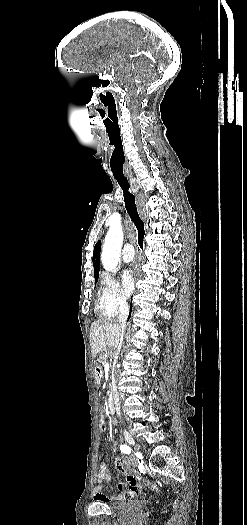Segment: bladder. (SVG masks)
<instances>
[{
    "mask_svg": "<svg viewBox=\"0 0 247 525\" xmlns=\"http://www.w3.org/2000/svg\"><path fill=\"white\" fill-rule=\"evenodd\" d=\"M113 505H114V504H112V503H109V504H108V506H110V507H112Z\"/></svg>",
    "mask_w": 247,
    "mask_h": 525,
    "instance_id": "1",
    "label": "bladder"
}]
</instances>
